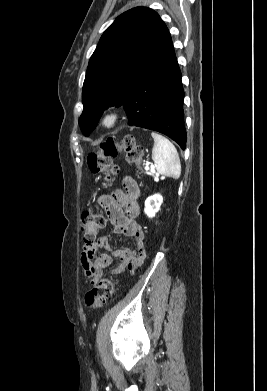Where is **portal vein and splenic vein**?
I'll list each match as a JSON object with an SVG mask.
<instances>
[{
  "label": "portal vein and splenic vein",
  "mask_w": 267,
  "mask_h": 391,
  "mask_svg": "<svg viewBox=\"0 0 267 391\" xmlns=\"http://www.w3.org/2000/svg\"><path fill=\"white\" fill-rule=\"evenodd\" d=\"M145 169H149V166H148V164H146V167H145Z\"/></svg>",
  "instance_id": "1"
}]
</instances>
